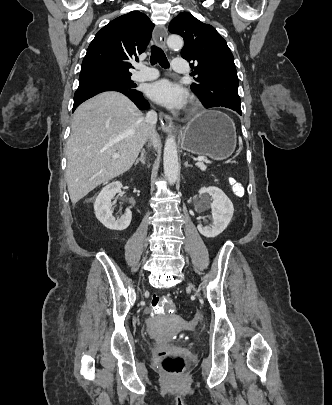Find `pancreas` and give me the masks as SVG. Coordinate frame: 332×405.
I'll return each instance as SVG.
<instances>
[{
  "mask_svg": "<svg viewBox=\"0 0 332 405\" xmlns=\"http://www.w3.org/2000/svg\"><path fill=\"white\" fill-rule=\"evenodd\" d=\"M202 171H204L205 170V168H206V166L204 165V168L203 167H199Z\"/></svg>",
  "mask_w": 332,
  "mask_h": 405,
  "instance_id": "pancreas-1",
  "label": "pancreas"
}]
</instances>
